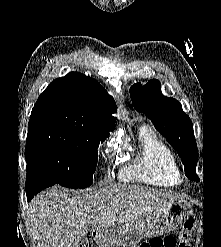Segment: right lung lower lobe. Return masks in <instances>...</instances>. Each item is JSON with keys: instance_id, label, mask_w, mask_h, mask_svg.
Returning <instances> with one entry per match:
<instances>
[{"instance_id": "obj_1", "label": "right lung lower lobe", "mask_w": 221, "mask_h": 247, "mask_svg": "<svg viewBox=\"0 0 221 247\" xmlns=\"http://www.w3.org/2000/svg\"><path fill=\"white\" fill-rule=\"evenodd\" d=\"M56 182L47 178L36 170L27 169L26 176V194L27 200L30 201L41 190L55 185Z\"/></svg>"}]
</instances>
